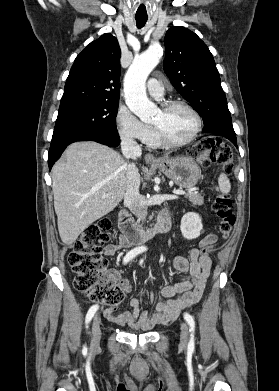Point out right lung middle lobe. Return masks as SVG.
I'll return each mask as SVG.
<instances>
[{"mask_svg":"<svg viewBox=\"0 0 279 391\" xmlns=\"http://www.w3.org/2000/svg\"><path fill=\"white\" fill-rule=\"evenodd\" d=\"M119 101H93L59 109L52 139L90 128L116 127Z\"/></svg>","mask_w":279,"mask_h":391,"instance_id":"dd1d6c3e","label":"right lung middle lobe"}]
</instances>
